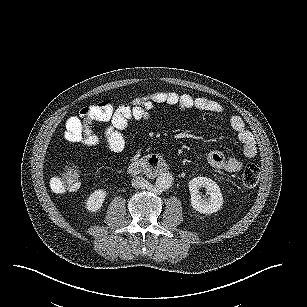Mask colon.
I'll return each instance as SVG.
<instances>
[{
    "instance_id": "5ec220e1",
    "label": "colon",
    "mask_w": 307,
    "mask_h": 307,
    "mask_svg": "<svg viewBox=\"0 0 307 307\" xmlns=\"http://www.w3.org/2000/svg\"><path fill=\"white\" fill-rule=\"evenodd\" d=\"M110 106V101H102L96 107L103 110ZM81 142L86 146L95 147L100 143L98 135L92 129V121L95 119L94 110L85 107L81 110ZM81 168L75 162L67 165L57 172L51 179V188L56 193L71 192L79 189L81 185ZM260 176V169L254 164H248L242 172V184L246 188H253L257 185Z\"/></svg>"
}]
</instances>
